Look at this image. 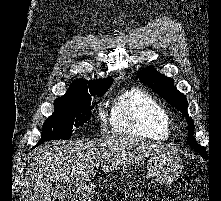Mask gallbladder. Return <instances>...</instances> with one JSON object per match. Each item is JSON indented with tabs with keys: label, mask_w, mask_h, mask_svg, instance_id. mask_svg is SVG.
<instances>
[{
	"label": "gallbladder",
	"mask_w": 221,
	"mask_h": 201,
	"mask_svg": "<svg viewBox=\"0 0 221 201\" xmlns=\"http://www.w3.org/2000/svg\"><path fill=\"white\" fill-rule=\"evenodd\" d=\"M74 195V187L72 185L66 184L60 188L58 192V198L62 201H69Z\"/></svg>",
	"instance_id": "gallbladder-1"
}]
</instances>
